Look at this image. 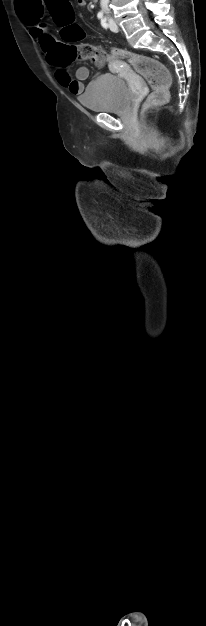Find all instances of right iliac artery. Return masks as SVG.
I'll list each match as a JSON object with an SVG mask.
<instances>
[{
  "instance_id": "82829eb1",
  "label": "right iliac artery",
  "mask_w": 206,
  "mask_h": 626,
  "mask_svg": "<svg viewBox=\"0 0 206 626\" xmlns=\"http://www.w3.org/2000/svg\"><path fill=\"white\" fill-rule=\"evenodd\" d=\"M97 17H98L99 19H101V18L103 17V13H102V12H99V13L97 14Z\"/></svg>"
}]
</instances>
